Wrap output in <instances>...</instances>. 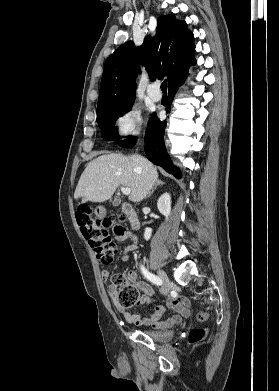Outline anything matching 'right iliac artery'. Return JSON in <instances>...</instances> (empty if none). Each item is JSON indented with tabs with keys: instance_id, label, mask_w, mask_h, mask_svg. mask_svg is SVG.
<instances>
[{
	"instance_id": "82829eb1",
	"label": "right iliac artery",
	"mask_w": 279,
	"mask_h": 391,
	"mask_svg": "<svg viewBox=\"0 0 279 391\" xmlns=\"http://www.w3.org/2000/svg\"><path fill=\"white\" fill-rule=\"evenodd\" d=\"M141 271H142L143 275H144L150 282H152V283H154V284H156V285H162V280H161L158 276H156V275L150 273L147 269H145L144 266H141Z\"/></svg>"
}]
</instances>
